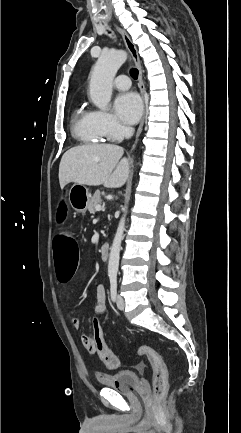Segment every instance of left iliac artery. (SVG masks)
<instances>
[{
	"label": "left iliac artery",
	"instance_id": "44dca946",
	"mask_svg": "<svg viewBox=\"0 0 241 433\" xmlns=\"http://www.w3.org/2000/svg\"><path fill=\"white\" fill-rule=\"evenodd\" d=\"M117 294V278L114 275L110 276V296L112 301H115Z\"/></svg>",
	"mask_w": 241,
	"mask_h": 433
}]
</instances>
